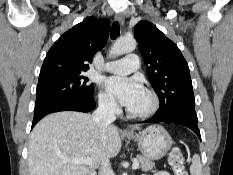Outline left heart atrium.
I'll return each mask as SVG.
<instances>
[{
  "instance_id": "obj_1",
  "label": "left heart atrium",
  "mask_w": 233,
  "mask_h": 175,
  "mask_svg": "<svg viewBox=\"0 0 233 175\" xmlns=\"http://www.w3.org/2000/svg\"><path fill=\"white\" fill-rule=\"evenodd\" d=\"M106 86L109 92L128 109L135 106L144 94L143 85L137 78L113 76L107 79Z\"/></svg>"
}]
</instances>
